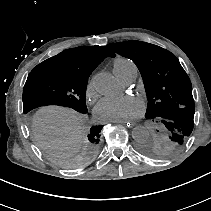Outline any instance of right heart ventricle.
<instances>
[{"label":"right heart ventricle","mask_w":211,"mask_h":211,"mask_svg":"<svg viewBox=\"0 0 211 211\" xmlns=\"http://www.w3.org/2000/svg\"><path fill=\"white\" fill-rule=\"evenodd\" d=\"M113 71L119 78L124 80L127 76L138 70L136 64L131 59L118 57L113 63Z\"/></svg>","instance_id":"right-heart-ventricle-1"}]
</instances>
